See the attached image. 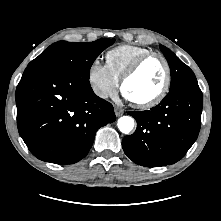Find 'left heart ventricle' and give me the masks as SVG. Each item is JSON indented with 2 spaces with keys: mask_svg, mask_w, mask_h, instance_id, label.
Instances as JSON below:
<instances>
[{
  "mask_svg": "<svg viewBox=\"0 0 221 221\" xmlns=\"http://www.w3.org/2000/svg\"><path fill=\"white\" fill-rule=\"evenodd\" d=\"M165 80V67L158 58H151L124 85L131 101L141 102L154 97Z\"/></svg>",
  "mask_w": 221,
  "mask_h": 221,
  "instance_id": "1",
  "label": "left heart ventricle"
}]
</instances>
